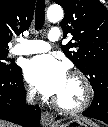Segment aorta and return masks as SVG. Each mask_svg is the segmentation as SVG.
I'll use <instances>...</instances> for the list:
<instances>
[{"mask_svg": "<svg viewBox=\"0 0 108 127\" xmlns=\"http://www.w3.org/2000/svg\"><path fill=\"white\" fill-rule=\"evenodd\" d=\"M63 18V9L59 5H52L47 10V19L52 22H58Z\"/></svg>", "mask_w": 108, "mask_h": 127, "instance_id": "762f6f07", "label": "aorta"}]
</instances>
